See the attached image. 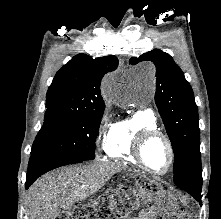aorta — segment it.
<instances>
[{
    "label": "aorta",
    "mask_w": 221,
    "mask_h": 219,
    "mask_svg": "<svg viewBox=\"0 0 221 219\" xmlns=\"http://www.w3.org/2000/svg\"><path fill=\"white\" fill-rule=\"evenodd\" d=\"M137 74L150 86L153 85L155 76L154 69L149 67H141L138 69ZM104 93L108 97H117L120 95V91L118 88L114 87V83L111 81H107L106 85L104 86Z\"/></svg>",
    "instance_id": "obj_1"
}]
</instances>
